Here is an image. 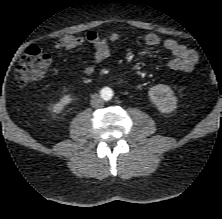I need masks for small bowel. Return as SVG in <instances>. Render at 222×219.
<instances>
[{"label": "small bowel", "instance_id": "c3829d8e", "mask_svg": "<svg viewBox=\"0 0 222 219\" xmlns=\"http://www.w3.org/2000/svg\"><path fill=\"white\" fill-rule=\"evenodd\" d=\"M119 40L120 35L118 33H110L106 36H101L96 31H88L84 36H65L61 38L55 43L54 48L57 50H72L89 44L93 47L96 62L100 63L110 57V45L117 43ZM144 41L149 47H156L161 43L160 37L155 33H148ZM163 46L172 55L167 61L168 68L182 72H190L193 70L198 59L195 51L187 48L174 39H166L163 42ZM94 70V66L87 65L83 68V73L85 75H91L94 73Z\"/></svg>", "mask_w": 222, "mask_h": 219}]
</instances>
